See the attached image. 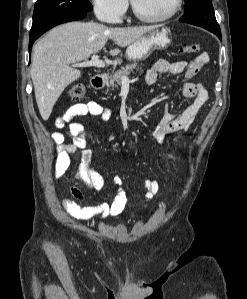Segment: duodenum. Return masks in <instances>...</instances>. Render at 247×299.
<instances>
[{"label": "duodenum", "mask_w": 247, "mask_h": 299, "mask_svg": "<svg viewBox=\"0 0 247 299\" xmlns=\"http://www.w3.org/2000/svg\"><path fill=\"white\" fill-rule=\"evenodd\" d=\"M107 80V74L101 73L93 76L91 80V85L95 89H101L104 87Z\"/></svg>", "instance_id": "410a0bca"}]
</instances>
